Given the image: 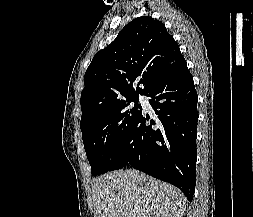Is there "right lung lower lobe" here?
<instances>
[{"mask_svg":"<svg viewBox=\"0 0 253 217\" xmlns=\"http://www.w3.org/2000/svg\"><path fill=\"white\" fill-rule=\"evenodd\" d=\"M157 120L141 113L112 170L131 165L178 187L192 201L196 185L197 92L185 59L145 94Z\"/></svg>","mask_w":253,"mask_h":217,"instance_id":"obj_1","label":"right lung lower lobe"}]
</instances>
